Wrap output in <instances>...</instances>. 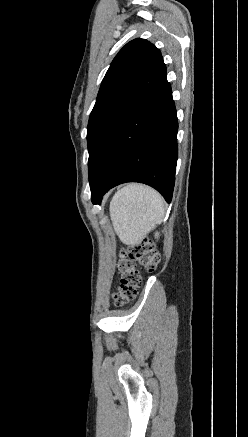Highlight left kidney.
<instances>
[{
  "mask_svg": "<svg viewBox=\"0 0 248 437\" xmlns=\"http://www.w3.org/2000/svg\"><path fill=\"white\" fill-rule=\"evenodd\" d=\"M155 236L158 237V236H159V233L157 232V233L155 234Z\"/></svg>",
  "mask_w": 248,
  "mask_h": 437,
  "instance_id": "obj_1",
  "label": "left kidney"
}]
</instances>
